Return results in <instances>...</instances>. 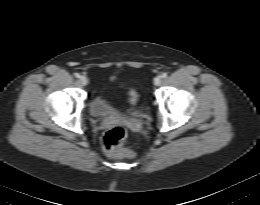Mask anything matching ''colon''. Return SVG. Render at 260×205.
Returning <instances> with one entry per match:
<instances>
[{
	"instance_id": "1",
	"label": "colon",
	"mask_w": 260,
	"mask_h": 205,
	"mask_svg": "<svg viewBox=\"0 0 260 205\" xmlns=\"http://www.w3.org/2000/svg\"><path fill=\"white\" fill-rule=\"evenodd\" d=\"M138 93L135 89H130L129 91V102L131 105H136L138 102ZM127 138L126 130L121 126H115L106 131L103 137L104 147L106 153L111 157H125L131 158L134 153L126 148L124 144Z\"/></svg>"
}]
</instances>
